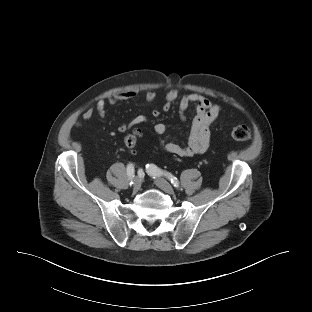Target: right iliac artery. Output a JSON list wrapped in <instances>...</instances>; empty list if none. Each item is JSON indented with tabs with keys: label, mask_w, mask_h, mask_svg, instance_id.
I'll return each instance as SVG.
<instances>
[{
	"label": "right iliac artery",
	"mask_w": 312,
	"mask_h": 312,
	"mask_svg": "<svg viewBox=\"0 0 312 312\" xmlns=\"http://www.w3.org/2000/svg\"><path fill=\"white\" fill-rule=\"evenodd\" d=\"M134 174H135L134 166H133L132 163H130L127 166V175H128L129 180L131 181L130 184L133 183V179H134V176H135ZM139 175H143L142 169L139 170Z\"/></svg>",
	"instance_id": "1"
}]
</instances>
